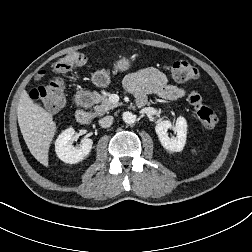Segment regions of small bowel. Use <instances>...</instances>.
<instances>
[{"instance_id":"small-bowel-1","label":"small bowel","mask_w":252,"mask_h":252,"mask_svg":"<svg viewBox=\"0 0 252 252\" xmlns=\"http://www.w3.org/2000/svg\"><path fill=\"white\" fill-rule=\"evenodd\" d=\"M125 88L131 92L138 105H143L149 95L176 100L185 95V90L169 82L168 77L156 68L149 67L128 75Z\"/></svg>"}]
</instances>
